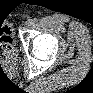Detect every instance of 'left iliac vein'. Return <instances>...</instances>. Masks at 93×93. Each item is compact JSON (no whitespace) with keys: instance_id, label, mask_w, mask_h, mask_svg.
Instances as JSON below:
<instances>
[{"instance_id":"obj_1","label":"left iliac vein","mask_w":93,"mask_h":93,"mask_svg":"<svg viewBox=\"0 0 93 93\" xmlns=\"http://www.w3.org/2000/svg\"><path fill=\"white\" fill-rule=\"evenodd\" d=\"M32 24H33V21H32L31 19H28V20L25 22V25L28 26V27L32 26Z\"/></svg>"}]
</instances>
